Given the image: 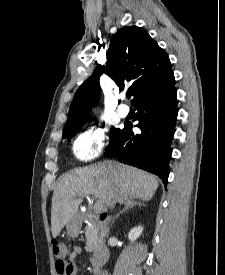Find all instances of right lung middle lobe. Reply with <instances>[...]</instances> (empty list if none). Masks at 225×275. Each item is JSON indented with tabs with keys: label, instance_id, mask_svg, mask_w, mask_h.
Here are the masks:
<instances>
[{
	"label": "right lung middle lobe",
	"instance_id": "1",
	"mask_svg": "<svg viewBox=\"0 0 225 275\" xmlns=\"http://www.w3.org/2000/svg\"><path fill=\"white\" fill-rule=\"evenodd\" d=\"M84 122L85 120H82L80 122H77L75 124L65 127L63 130V138L65 137L71 138L81 128ZM119 132H120V129L111 128L110 135H109L110 139L112 140Z\"/></svg>",
	"mask_w": 225,
	"mask_h": 275
}]
</instances>
